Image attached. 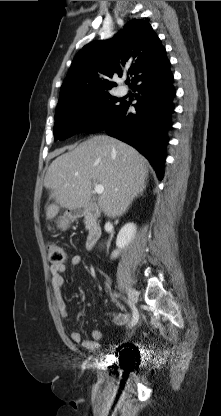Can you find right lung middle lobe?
<instances>
[{"mask_svg":"<svg viewBox=\"0 0 221 416\" xmlns=\"http://www.w3.org/2000/svg\"><path fill=\"white\" fill-rule=\"evenodd\" d=\"M121 99L110 92L57 105L54 139L64 140L74 134L94 133L107 124L120 107Z\"/></svg>","mask_w":221,"mask_h":416,"instance_id":"1","label":"right lung middle lobe"}]
</instances>
